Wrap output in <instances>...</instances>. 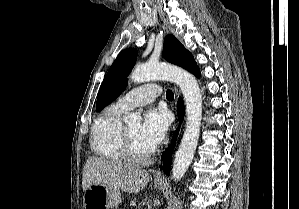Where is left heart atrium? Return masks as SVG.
<instances>
[{
    "mask_svg": "<svg viewBox=\"0 0 299 209\" xmlns=\"http://www.w3.org/2000/svg\"><path fill=\"white\" fill-rule=\"evenodd\" d=\"M169 119L164 110L150 109L144 117L140 128L141 140L151 149H155L165 137Z\"/></svg>",
    "mask_w": 299,
    "mask_h": 209,
    "instance_id": "1",
    "label": "left heart atrium"
}]
</instances>
